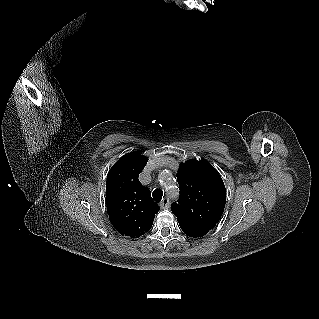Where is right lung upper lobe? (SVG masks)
<instances>
[{
  "label": "right lung upper lobe",
  "instance_id": "1",
  "mask_svg": "<svg viewBox=\"0 0 319 319\" xmlns=\"http://www.w3.org/2000/svg\"><path fill=\"white\" fill-rule=\"evenodd\" d=\"M148 159L138 152L122 156L110 169L106 182V205L113 227L131 238L148 232L159 206L138 176Z\"/></svg>",
  "mask_w": 319,
  "mask_h": 319
}]
</instances>
